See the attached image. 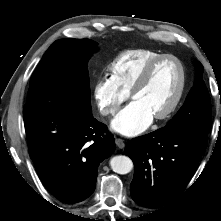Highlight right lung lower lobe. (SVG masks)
<instances>
[{
    "label": "right lung lower lobe",
    "instance_id": "obj_1",
    "mask_svg": "<svg viewBox=\"0 0 221 221\" xmlns=\"http://www.w3.org/2000/svg\"><path fill=\"white\" fill-rule=\"evenodd\" d=\"M28 148L37 173L57 199L73 204L89 197L99 164L115 150L107 127L64 100H36L23 111Z\"/></svg>",
    "mask_w": 221,
    "mask_h": 221
}]
</instances>
